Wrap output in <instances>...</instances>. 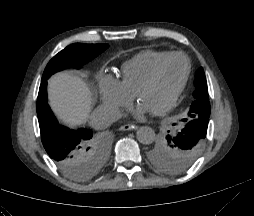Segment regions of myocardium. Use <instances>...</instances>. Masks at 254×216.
<instances>
[{
    "label": "myocardium",
    "mask_w": 254,
    "mask_h": 216,
    "mask_svg": "<svg viewBox=\"0 0 254 216\" xmlns=\"http://www.w3.org/2000/svg\"><path fill=\"white\" fill-rule=\"evenodd\" d=\"M176 57H181L186 62V70H185L184 76H183L181 82L179 83L178 87L176 88L175 92L173 93L172 97L168 101V103L161 109L153 112L155 115H158V116L164 115V114L168 113L176 105L182 91L184 90V88L186 86V83L188 81V78H189V75L191 72V63H190V60L188 59V57L181 52H174V53H170L169 55H167L165 58H163L161 61H159L156 64V66L153 68V70L150 73L147 80L143 83V85L136 92V99L140 100L142 93L145 92L146 90H148L156 82L162 67L168 61H170L171 59L176 58Z\"/></svg>",
    "instance_id": "obj_1"
}]
</instances>
